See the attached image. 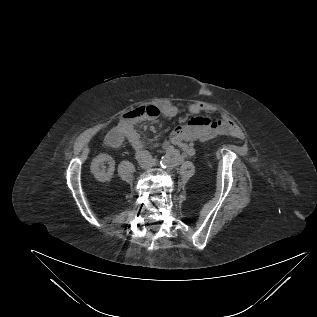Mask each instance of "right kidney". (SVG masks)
Returning a JSON list of instances; mask_svg holds the SVG:
<instances>
[{
  "label": "right kidney",
  "instance_id": "ca27d5eb",
  "mask_svg": "<svg viewBox=\"0 0 317 317\" xmlns=\"http://www.w3.org/2000/svg\"><path fill=\"white\" fill-rule=\"evenodd\" d=\"M107 162L108 168L103 164ZM91 173L94 177L101 182H105L111 179L115 170V161L108 154H99L91 162Z\"/></svg>",
  "mask_w": 317,
  "mask_h": 317
}]
</instances>
